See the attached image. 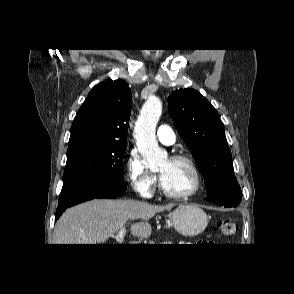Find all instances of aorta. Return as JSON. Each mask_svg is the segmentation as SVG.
<instances>
[{
  "label": "aorta",
  "instance_id": "1",
  "mask_svg": "<svg viewBox=\"0 0 294 294\" xmlns=\"http://www.w3.org/2000/svg\"><path fill=\"white\" fill-rule=\"evenodd\" d=\"M162 113V103L157 97H150L143 105L134 129L138 149L151 170L162 166L167 152L156 140V125Z\"/></svg>",
  "mask_w": 294,
  "mask_h": 294
}]
</instances>
